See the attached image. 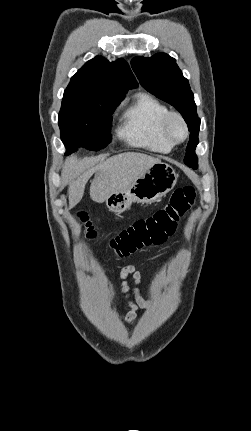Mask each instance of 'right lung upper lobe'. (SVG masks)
Masks as SVG:
<instances>
[{"instance_id":"obj_1","label":"right lung upper lobe","mask_w":251,"mask_h":431,"mask_svg":"<svg viewBox=\"0 0 251 431\" xmlns=\"http://www.w3.org/2000/svg\"><path fill=\"white\" fill-rule=\"evenodd\" d=\"M137 86L138 83L124 59L109 62L102 56H96L78 70L67 89L97 92L124 99L128 89Z\"/></svg>"}]
</instances>
